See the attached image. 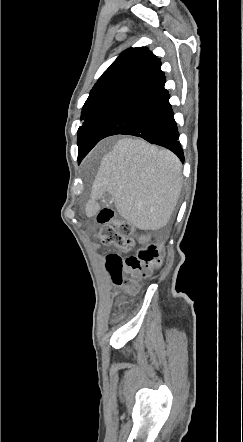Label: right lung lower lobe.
I'll return each mask as SVG.
<instances>
[{
  "instance_id": "obj_1",
  "label": "right lung lower lobe",
  "mask_w": 243,
  "mask_h": 442,
  "mask_svg": "<svg viewBox=\"0 0 243 442\" xmlns=\"http://www.w3.org/2000/svg\"><path fill=\"white\" fill-rule=\"evenodd\" d=\"M164 74L136 88L121 99L99 123L83 157L103 138L123 134L163 146L184 161Z\"/></svg>"
}]
</instances>
